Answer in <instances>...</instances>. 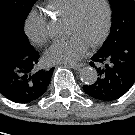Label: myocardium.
Masks as SVG:
<instances>
[{"label":"myocardium","mask_w":135,"mask_h":135,"mask_svg":"<svg viewBox=\"0 0 135 135\" xmlns=\"http://www.w3.org/2000/svg\"><path fill=\"white\" fill-rule=\"evenodd\" d=\"M86 1L87 0H79L76 3L72 13L68 17L69 21L77 22L79 20L82 7ZM100 1L102 2L103 7H104V23H103L102 29L99 32V34L91 41V43H90L91 46H96L99 43H101L107 36L110 26H111L112 10H111L110 2H109V0H100Z\"/></svg>","instance_id":"f54148a6"}]
</instances>
